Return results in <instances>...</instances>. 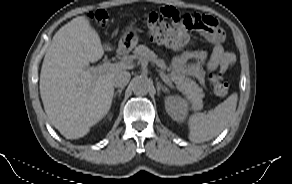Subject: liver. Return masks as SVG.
Returning <instances> with one entry per match:
<instances>
[{"label": "liver", "instance_id": "obj_1", "mask_svg": "<svg viewBox=\"0 0 292 184\" xmlns=\"http://www.w3.org/2000/svg\"><path fill=\"white\" fill-rule=\"evenodd\" d=\"M104 50L112 48L102 45L86 16H78L56 32L45 54L41 99L50 122L67 139L85 136L107 114L114 95V76L127 69L86 70L90 62L101 59Z\"/></svg>", "mask_w": 292, "mask_h": 184}]
</instances>
